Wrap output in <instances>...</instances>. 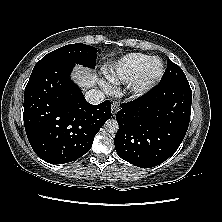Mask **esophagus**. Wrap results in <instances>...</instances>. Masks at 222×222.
I'll list each match as a JSON object with an SVG mask.
<instances>
[{
    "mask_svg": "<svg viewBox=\"0 0 222 222\" xmlns=\"http://www.w3.org/2000/svg\"><path fill=\"white\" fill-rule=\"evenodd\" d=\"M112 115L115 116L118 110L120 109L119 104L117 102H113L111 105Z\"/></svg>",
    "mask_w": 222,
    "mask_h": 222,
    "instance_id": "1",
    "label": "esophagus"
}]
</instances>
